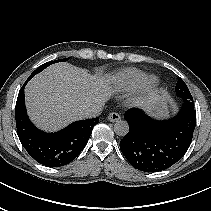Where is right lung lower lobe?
<instances>
[{
  "label": "right lung lower lobe",
  "mask_w": 211,
  "mask_h": 211,
  "mask_svg": "<svg viewBox=\"0 0 211 211\" xmlns=\"http://www.w3.org/2000/svg\"><path fill=\"white\" fill-rule=\"evenodd\" d=\"M29 80L20 89L15 108L20 142L38 163L48 167L64 166L84 149L99 118L76 121L55 133L37 129L28 118L25 107L24 87Z\"/></svg>",
  "instance_id": "1"
}]
</instances>
